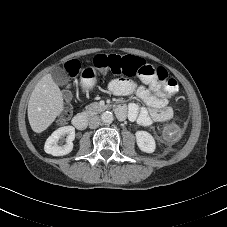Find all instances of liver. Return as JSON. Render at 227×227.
<instances>
[{
  "mask_svg": "<svg viewBox=\"0 0 227 227\" xmlns=\"http://www.w3.org/2000/svg\"><path fill=\"white\" fill-rule=\"evenodd\" d=\"M62 93L50 73L44 75L34 87L28 102V120L32 130H46L63 110Z\"/></svg>",
  "mask_w": 227,
  "mask_h": 227,
  "instance_id": "1",
  "label": "liver"
}]
</instances>
